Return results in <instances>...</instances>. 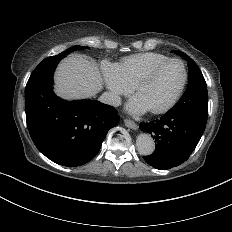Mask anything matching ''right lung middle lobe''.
<instances>
[{
	"instance_id": "dd1d6c3e",
	"label": "right lung middle lobe",
	"mask_w": 232,
	"mask_h": 232,
	"mask_svg": "<svg viewBox=\"0 0 232 232\" xmlns=\"http://www.w3.org/2000/svg\"><path fill=\"white\" fill-rule=\"evenodd\" d=\"M86 48H88V47H86V46H72L71 48L63 51L61 54L67 55L73 51L80 50V49H86Z\"/></svg>"
}]
</instances>
